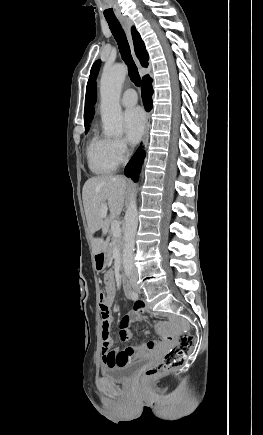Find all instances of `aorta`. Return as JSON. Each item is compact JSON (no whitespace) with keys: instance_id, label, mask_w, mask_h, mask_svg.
Segmentation results:
<instances>
[{"instance_id":"obj_1","label":"aorta","mask_w":263,"mask_h":435,"mask_svg":"<svg viewBox=\"0 0 263 435\" xmlns=\"http://www.w3.org/2000/svg\"><path fill=\"white\" fill-rule=\"evenodd\" d=\"M127 69L119 64L104 70L100 80L101 118L103 132L107 136H121L123 133V115L120 106L122 84ZM138 226L136 193L133 191L125 214L124 247L122 263L126 273L133 268L135 235Z\"/></svg>"}]
</instances>
